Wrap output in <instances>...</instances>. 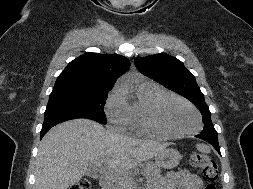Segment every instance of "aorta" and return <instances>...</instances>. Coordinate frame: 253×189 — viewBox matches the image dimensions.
I'll use <instances>...</instances> for the list:
<instances>
[{
    "instance_id": "aorta-1",
    "label": "aorta",
    "mask_w": 253,
    "mask_h": 189,
    "mask_svg": "<svg viewBox=\"0 0 253 189\" xmlns=\"http://www.w3.org/2000/svg\"><path fill=\"white\" fill-rule=\"evenodd\" d=\"M123 86H124V88H125V89H127V88H128V86H127V85H123Z\"/></svg>"
}]
</instances>
